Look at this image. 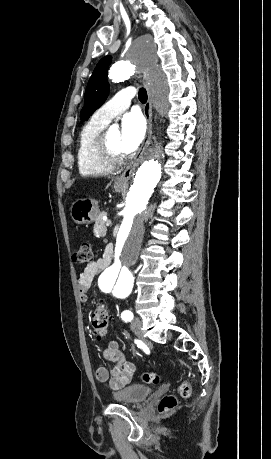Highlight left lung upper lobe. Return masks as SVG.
Instances as JSON below:
<instances>
[{
  "label": "left lung upper lobe",
  "instance_id": "obj_1",
  "mask_svg": "<svg viewBox=\"0 0 271 459\" xmlns=\"http://www.w3.org/2000/svg\"><path fill=\"white\" fill-rule=\"evenodd\" d=\"M110 63L111 57L106 56L99 61L93 71L85 92L84 107L80 115L82 120H87L108 97L107 71Z\"/></svg>",
  "mask_w": 271,
  "mask_h": 459
}]
</instances>
